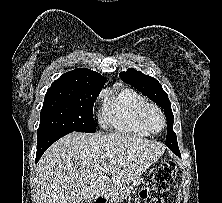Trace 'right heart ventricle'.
I'll return each instance as SVG.
<instances>
[{
    "label": "right heart ventricle",
    "mask_w": 222,
    "mask_h": 203,
    "mask_svg": "<svg viewBox=\"0 0 222 203\" xmlns=\"http://www.w3.org/2000/svg\"><path fill=\"white\" fill-rule=\"evenodd\" d=\"M147 101L135 90L116 86L105 93L101 122L116 132L147 137L151 133L140 118Z\"/></svg>",
    "instance_id": "e07e8e85"
}]
</instances>
